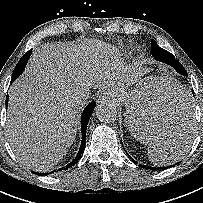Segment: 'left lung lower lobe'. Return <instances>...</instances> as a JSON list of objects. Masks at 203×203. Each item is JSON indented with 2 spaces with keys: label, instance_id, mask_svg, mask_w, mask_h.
<instances>
[{
  "label": "left lung lower lobe",
  "instance_id": "0a47b994",
  "mask_svg": "<svg viewBox=\"0 0 203 203\" xmlns=\"http://www.w3.org/2000/svg\"><path fill=\"white\" fill-rule=\"evenodd\" d=\"M152 55H153V57H154L156 60H158V61H160V62H163V63H166V64H168V65L174 67L177 72H179L180 74L184 73L183 75H184V76H187V72H186L185 70H183V66L180 64V62H179L178 60H176V59L174 58V56H173L170 52H168V51H166V50H164V49H162V48H158L157 50H155V51L152 53ZM193 94H194V91H193ZM139 114H140V113H139ZM186 114H187V113L185 112L184 114L181 115V116H183L184 120L187 119V116H185ZM133 115H136L135 109H134ZM137 115H138V113H137ZM137 115H136V116H137ZM138 116H140V115H138ZM188 118H189V117H188ZM184 123H185V122H184ZM184 123H183V124H184ZM182 129H183V130H182V133H181V134H179V135L176 136L175 138H172L173 140H175V142H178L179 145H181V146H179V147L188 145V144H185V143L183 142V141H185V139H186L187 137H189V138H190L189 140H191L190 130H189V132H187V131H186L187 128H186L185 126H183ZM123 149H124V148H123ZM131 159H132V158H131ZM132 161H133L135 164H137V162H136L135 160L132 159ZM141 167H142V168H146V169H151V170H156V169H158V168H156V167L145 166V165H142ZM164 168H165V167H164ZM166 168H168V167H166Z\"/></svg>",
  "mask_w": 203,
  "mask_h": 203
}]
</instances>
